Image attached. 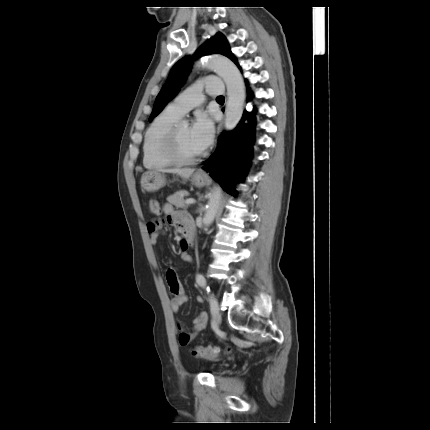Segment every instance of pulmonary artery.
<instances>
[{
    "mask_svg": "<svg viewBox=\"0 0 430 430\" xmlns=\"http://www.w3.org/2000/svg\"><path fill=\"white\" fill-rule=\"evenodd\" d=\"M204 93L211 96L222 94V83L220 80L205 78L194 82L179 94L168 105L167 109L181 117L204 102Z\"/></svg>",
    "mask_w": 430,
    "mask_h": 430,
    "instance_id": "1",
    "label": "pulmonary artery"
}]
</instances>
